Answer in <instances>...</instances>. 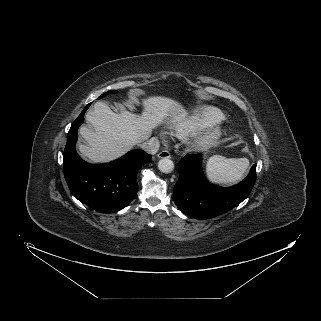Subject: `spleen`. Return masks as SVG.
<instances>
[{
	"instance_id": "obj_1",
	"label": "spleen",
	"mask_w": 321,
	"mask_h": 321,
	"mask_svg": "<svg viewBox=\"0 0 321 321\" xmlns=\"http://www.w3.org/2000/svg\"><path fill=\"white\" fill-rule=\"evenodd\" d=\"M248 166L247 158H226L215 155L207 161L206 174L213 183L233 184L242 179Z\"/></svg>"
}]
</instances>
